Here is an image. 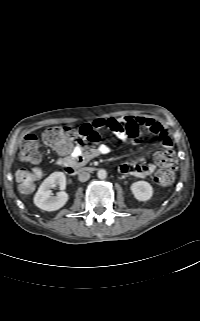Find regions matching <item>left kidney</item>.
<instances>
[{
  "mask_svg": "<svg viewBox=\"0 0 200 321\" xmlns=\"http://www.w3.org/2000/svg\"><path fill=\"white\" fill-rule=\"evenodd\" d=\"M134 197L139 201H147L153 196V188L146 181H137L131 185Z\"/></svg>",
  "mask_w": 200,
  "mask_h": 321,
  "instance_id": "left-kidney-1",
  "label": "left kidney"
}]
</instances>
